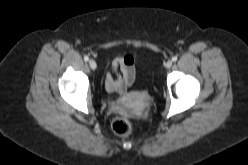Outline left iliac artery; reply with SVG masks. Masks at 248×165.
<instances>
[{"mask_svg":"<svg viewBox=\"0 0 248 165\" xmlns=\"http://www.w3.org/2000/svg\"><path fill=\"white\" fill-rule=\"evenodd\" d=\"M177 59H178L177 56L172 57V61L174 62L177 61Z\"/></svg>","mask_w":248,"mask_h":165,"instance_id":"44dca946","label":"left iliac artery"}]
</instances>
